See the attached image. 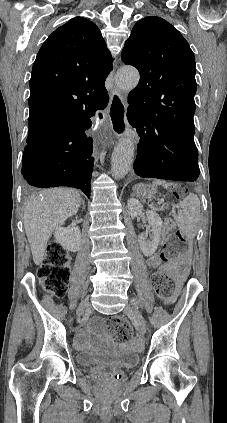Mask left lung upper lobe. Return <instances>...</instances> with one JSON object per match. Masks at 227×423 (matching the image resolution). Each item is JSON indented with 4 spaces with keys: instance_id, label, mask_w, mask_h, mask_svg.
I'll return each mask as SVG.
<instances>
[{
    "instance_id": "left-lung-upper-lobe-1",
    "label": "left lung upper lobe",
    "mask_w": 227,
    "mask_h": 423,
    "mask_svg": "<svg viewBox=\"0 0 227 423\" xmlns=\"http://www.w3.org/2000/svg\"><path fill=\"white\" fill-rule=\"evenodd\" d=\"M139 70L140 81L129 105L146 111L195 112V58L187 41L171 24L150 16L137 22L121 54Z\"/></svg>"
}]
</instances>
